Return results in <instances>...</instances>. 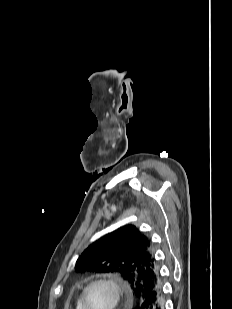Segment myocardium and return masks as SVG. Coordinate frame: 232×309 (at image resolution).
Here are the masks:
<instances>
[{"instance_id": "myocardium-1", "label": "myocardium", "mask_w": 232, "mask_h": 309, "mask_svg": "<svg viewBox=\"0 0 232 309\" xmlns=\"http://www.w3.org/2000/svg\"><path fill=\"white\" fill-rule=\"evenodd\" d=\"M94 285H105L107 286L111 292L113 293L114 300L113 304L111 305L110 309H118L125 297V289L117 278L110 277V276H101L96 277L91 280L83 289L81 296H80V305L81 309H87L86 306V296L88 290Z\"/></svg>"}]
</instances>
